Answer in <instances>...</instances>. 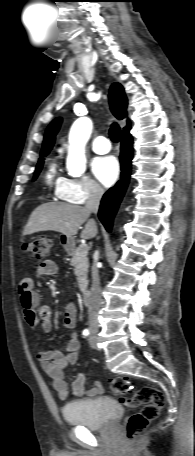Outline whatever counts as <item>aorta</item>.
Wrapping results in <instances>:
<instances>
[{"label":"aorta","mask_w":195,"mask_h":456,"mask_svg":"<svg viewBox=\"0 0 195 456\" xmlns=\"http://www.w3.org/2000/svg\"><path fill=\"white\" fill-rule=\"evenodd\" d=\"M92 127V121L82 117L77 119L70 129L66 168L73 177H79L86 170L85 145L90 138Z\"/></svg>","instance_id":"obj_1"}]
</instances>
